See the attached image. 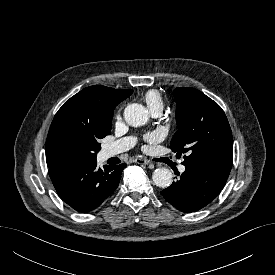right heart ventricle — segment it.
<instances>
[{"instance_id": "obj_1", "label": "right heart ventricle", "mask_w": 275, "mask_h": 275, "mask_svg": "<svg viewBox=\"0 0 275 275\" xmlns=\"http://www.w3.org/2000/svg\"><path fill=\"white\" fill-rule=\"evenodd\" d=\"M145 102L149 108L154 106H163V100L160 93L156 90H149L144 96Z\"/></svg>"}]
</instances>
